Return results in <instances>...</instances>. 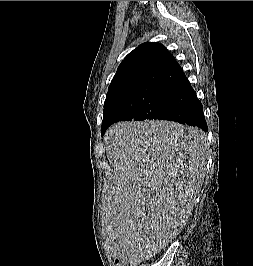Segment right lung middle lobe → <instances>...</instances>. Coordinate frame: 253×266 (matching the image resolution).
Wrapping results in <instances>:
<instances>
[{"label":"right lung middle lobe","instance_id":"obj_1","mask_svg":"<svg viewBox=\"0 0 253 266\" xmlns=\"http://www.w3.org/2000/svg\"><path fill=\"white\" fill-rule=\"evenodd\" d=\"M171 84H158L125 93L104 104L101 130L122 120L158 119L169 105Z\"/></svg>","mask_w":253,"mask_h":266}]
</instances>
